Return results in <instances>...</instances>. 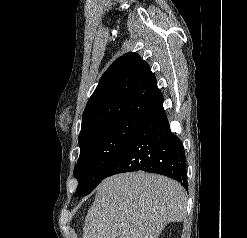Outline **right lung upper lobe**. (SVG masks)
Segmentation results:
<instances>
[{
  "mask_svg": "<svg viewBox=\"0 0 247 238\" xmlns=\"http://www.w3.org/2000/svg\"><path fill=\"white\" fill-rule=\"evenodd\" d=\"M163 110V95L149 65L126 53L107 69L88 100L79 138L122 118H142Z\"/></svg>",
  "mask_w": 247,
  "mask_h": 238,
  "instance_id": "1",
  "label": "right lung upper lobe"
}]
</instances>
